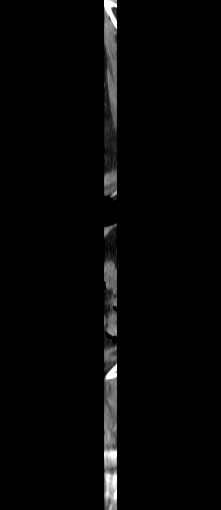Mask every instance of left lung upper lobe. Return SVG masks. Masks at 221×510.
I'll return each instance as SVG.
<instances>
[{
  "instance_id": "obj_1",
  "label": "left lung upper lobe",
  "mask_w": 221,
  "mask_h": 510,
  "mask_svg": "<svg viewBox=\"0 0 221 510\" xmlns=\"http://www.w3.org/2000/svg\"><path fill=\"white\" fill-rule=\"evenodd\" d=\"M104 194L103 192L96 195L92 201L91 211H97L104 208Z\"/></svg>"
}]
</instances>
